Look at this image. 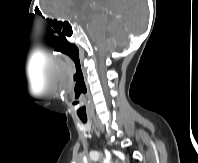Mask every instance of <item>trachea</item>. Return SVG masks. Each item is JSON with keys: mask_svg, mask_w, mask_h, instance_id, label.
Here are the masks:
<instances>
[{"mask_svg": "<svg viewBox=\"0 0 198 163\" xmlns=\"http://www.w3.org/2000/svg\"><path fill=\"white\" fill-rule=\"evenodd\" d=\"M80 119H81V121H82L83 123H86V122H87V118H86V117H80Z\"/></svg>", "mask_w": 198, "mask_h": 163, "instance_id": "obj_1", "label": "trachea"}]
</instances>
